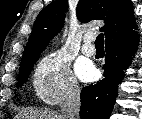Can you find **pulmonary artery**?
Listing matches in <instances>:
<instances>
[{
    "label": "pulmonary artery",
    "mask_w": 142,
    "mask_h": 119,
    "mask_svg": "<svg viewBox=\"0 0 142 119\" xmlns=\"http://www.w3.org/2000/svg\"><path fill=\"white\" fill-rule=\"evenodd\" d=\"M92 39H93L92 35L87 34L83 40L81 50L82 53L87 56H92L95 54V47L91 44Z\"/></svg>",
    "instance_id": "obj_1"
}]
</instances>
